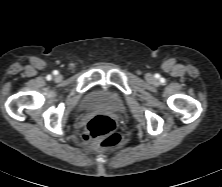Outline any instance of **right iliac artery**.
Segmentation results:
<instances>
[{"mask_svg":"<svg viewBox=\"0 0 222 187\" xmlns=\"http://www.w3.org/2000/svg\"><path fill=\"white\" fill-rule=\"evenodd\" d=\"M54 73L57 74V71H55ZM50 79H51V76L48 75V76H47V80H50Z\"/></svg>","mask_w":222,"mask_h":187,"instance_id":"obj_1","label":"right iliac artery"}]
</instances>
